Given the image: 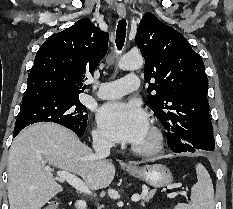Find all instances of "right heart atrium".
I'll return each instance as SVG.
<instances>
[{
	"instance_id": "right-heart-atrium-1",
	"label": "right heart atrium",
	"mask_w": 233,
	"mask_h": 209,
	"mask_svg": "<svg viewBox=\"0 0 233 209\" xmlns=\"http://www.w3.org/2000/svg\"><path fill=\"white\" fill-rule=\"evenodd\" d=\"M93 141L97 145L111 146L112 142L99 130H94Z\"/></svg>"
}]
</instances>
